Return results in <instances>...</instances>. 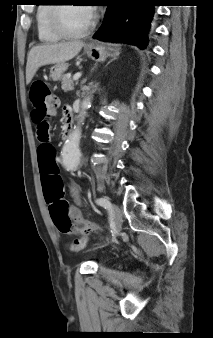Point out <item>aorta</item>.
Listing matches in <instances>:
<instances>
[{"mask_svg":"<svg viewBox=\"0 0 213 338\" xmlns=\"http://www.w3.org/2000/svg\"><path fill=\"white\" fill-rule=\"evenodd\" d=\"M90 104V97H86L82 102V110L78 116V125L74 127V130L63 147L62 164L66 170H76L79 167L81 159V152L79 148L81 125L83 124L86 116V109L90 106Z\"/></svg>","mask_w":213,"mask_h":338,"instance_id":"762f6f07","label":"aorta"}]
</instances>
